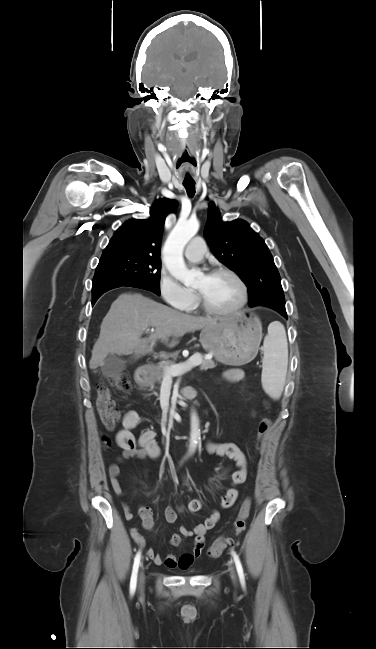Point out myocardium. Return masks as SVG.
<instances>
[{"label":"myocardium","mask_w":376,"mask_h":649,"mask_svg":"<svg viewBox=\"0 0 376 649\" xmlns=\"http://www.w3.org/2000/svg\"><path fill=\"white\" fill-rule=\"evenodd\" d=\"M220 273H224L231 276L238 284L240 288V299L238 303L228 309H216L208 304V302L206 301V299L204 298L201 292L195 290L197 303L205 312L215 316H230V315L237 314L247 303L248 300L247 285L237 272L225 266L213 267L207 272L206 275H216Z\"/></svg>","instance_id":"1"}]
</instances>
